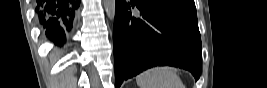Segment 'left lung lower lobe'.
<instances>
[{"label": "left lung lower lobe", "mask_w": 267, "mask_h": 88, "mask_svg": "<svg viewBox=\"0 0 267 88\" xmlns=\"http://www.w3.org/2000/svg\"><path fill=\"white\" fill-rule=\"evenodd\" d=\"M116 0L113 30L115 88L123 80L158 65L201 74V39L197 15L144 0ZM130 5L140 15L134 16Z\"/></svg>", "instance_id": "0a47b994"}]
</instances>
